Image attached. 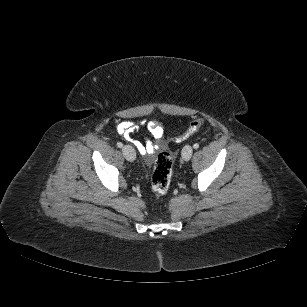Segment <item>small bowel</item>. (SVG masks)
Instances as JSON below:
<instances>
[{"label":"small bowel","mask_w":307,"mask_h":307,"mask_svg":"<svg viewBox=\"0 0 307 307\" xmlns=\"http://www.w3.org/2000/svg\"><path fill=\"white\" fill-rule=\"evenodd\" d=\"M140 125H146L152 134L154 141L147 140L145 143L134 141L137 150L142 155H151L157 149L163 147V125L159 121H141ZM139 129V125L133 121H123L117 125V132L125 138L130 139L131 135Z\"/></svg>","instance_id":"small-bowel-1"}]
</instances>
